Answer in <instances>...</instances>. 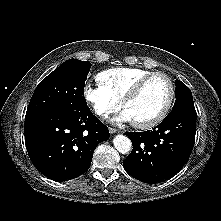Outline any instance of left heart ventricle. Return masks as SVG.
<instances>
[{"label":"left heart ventricle","mask_w":221,"mask_h":221,"mask_svg":"<svg viewBox=\"0 0 221 221\" xmlns=\"http://www.w3.org/2000/svg\"><path fill=\"white\" fill-rule=\"evenodd\" d=\"M169 96V85L163 77H154L146 83L142 91L125 110L133 122H145L157 116Z\"/></svg>","instance_id":"obj_1"}]
</instances>
